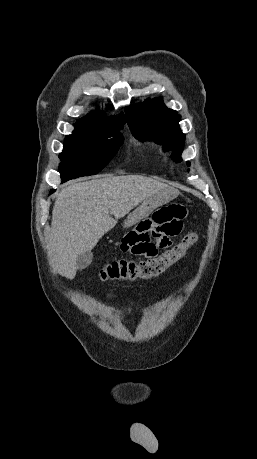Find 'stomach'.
Here are the masks:
<instances>
[{"mask_svg": "<svg viewBox=\"0 0 257 459\" xmlns=\"http://www.w3.org/2000/svg\"><path fill=\"white\" fill-rule=\"evenodd\" d=\"M178 191L174 188L168 187L155 194L147 197L142 203L128 215L124 222V227L132 226L134 223H138L143 217H148L151 211L155 210L156 205H163L173 200L177 195Z\"/></svg>", "mask_w": 257, "mask_h": 459, "instance_id": "stomach-1", "label": "stomach"}]
</instances>
